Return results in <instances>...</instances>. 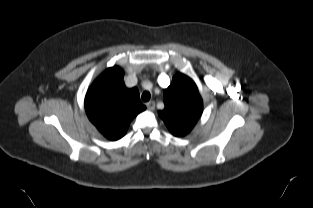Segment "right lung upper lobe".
Returning a JSON list of instances; mask_svg holds the SVG:
<instances>
[{
  "instance_id": "cb5924a9",
  "label": "right lung upper lobe",
  "mask_w": 313,
  "mask_h": 208,
  "mask_svg": "<svg viewBox=\"0 0 313 208\" xmlns=\"http://www.w3.org/2000/svg\"><path fill=\"white\" fill-rule=\"evenodd\" d=\"M124 72L114 66L106 69L90 86L85 96V110L99 132L111 141L122 138L130 122L146 107L136 87L127 88Z\"/></svg>"
}]
</instances>
